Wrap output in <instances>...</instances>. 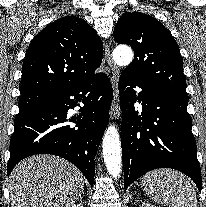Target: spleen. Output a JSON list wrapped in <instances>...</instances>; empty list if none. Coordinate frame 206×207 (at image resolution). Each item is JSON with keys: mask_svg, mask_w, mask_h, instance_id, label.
Masks as SVG:
<instances>
[{"mask_svg": "<svg viewBox=\"0 0 206 207\" xmlns=\"http://www.w3.org/2000/svg\"><path fill=\"white\" fill-rule=\"evenodd\" d=\"M146 194L156 203L169 207H198L196 192L187 177L176 170L159 169L142 178Z\"/></svg>", "mask_w": 206, "mask_h": 207, "instance_id": "1", "label": "spleen"}]
</instances>
